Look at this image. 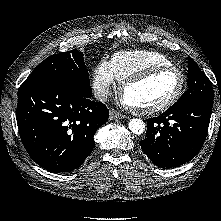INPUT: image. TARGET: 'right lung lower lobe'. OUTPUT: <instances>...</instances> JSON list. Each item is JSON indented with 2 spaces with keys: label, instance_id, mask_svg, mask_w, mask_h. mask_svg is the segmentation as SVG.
I'll list each match as a JSON object with an SVG mask.
<instances>
[{
  "label": "right lung lower lobe",
  "instance_id": "1",
  "mask_svg": "<svg viewBox=\"0 0 221 221\" xmlns=\"http://www.w3.org/2000/svg\"><path fill=\"white\" fill-rule=\"evenodd\" d=\"M63 82L21 85L17 124L30 157L51 172H69L84 162L95 147L97 129L108 121L103 103Z\"/></svg>",
  "mask_w": 221,
  "mask_h": 221
}]
</instances>
